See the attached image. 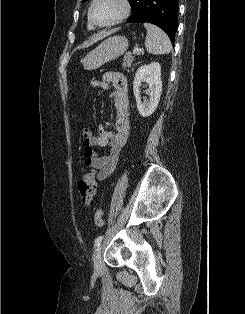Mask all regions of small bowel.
Listing matches in <instances>:
<instances>
[{"instance_id":"1","label":"small bowel","mask_w":245,"mask_h":314,"mask_svg":"<svg viewBox=\"0 0 245 314\" xmlns=\"http://www.w3.org/2000/svg\"><path fill=\"white\" fill-rule=\"evenodd\" d=\"M89 86L102 89L113 88L111 97L115 103V131L98 127V135L89 129L82 130L84 164L97 170L96 178L106 181L114 172L130 133V105L127 81L119 72H105L101 80H93ZM108 148L101 154L98 148Z\"/></svg>"}]
</instances>
